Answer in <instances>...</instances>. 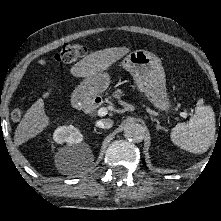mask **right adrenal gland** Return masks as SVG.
<instances>
[{"label":"right adrenal gland","instance_id":"obj_1","mask_svg":"<svg viewBox=\"0 0 221 221\" xmlns=\"http://www.w3.org/2000/svg\"><path fill=\"white\" fill-rule=\"evenodd\" d=\"M95 132H96L97 134H101L100 132H97L96 130H95Z\"/></svg>","mask_w":221,"mask_h":221}]
</instances>
